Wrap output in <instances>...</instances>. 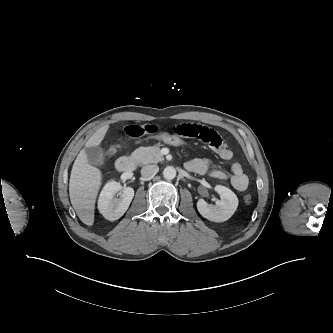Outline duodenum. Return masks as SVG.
I'll list each match as a JSON object with an SVG mask.
<instances>
[{
  "label": "duodenum",
  "instance_id": "duodenum-1",
  "mask_svg": "<svg viewBox=\"0 0 333 333\" xmlns=\"http://www.w3.org/2000/svg\"><path fill=\"white\" fill-rule=\"evenodd\" d=\"M136 159L132 156H124V157H120L117 161H116V168L118 171L120 172H131L135 169L136 167Z\"/></svg>",
  "mask_w": 333,
  "mask_h": 333
}]
</instances>
